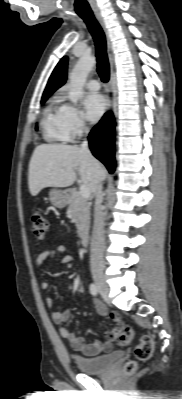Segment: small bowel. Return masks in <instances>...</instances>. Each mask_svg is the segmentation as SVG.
I'll return each mask as SVG.
<instances>
[{
    "mask_svg": "<svg viewBox=\"0 0 182 399\" xmlns=\"http://www.w3.org/2000/svg\"><path fill=\"white\" fill-rule=\"evenodd\" d=\"M53 258H57L59 262L63 264L72 263L74 261V257L72 255L65 254V247L59 245L57 247L42 251L36 259V265L41 268L48 260ZM48 287L49 283L47 281L41 282L42 289H47ZM45 302L48 307H52L54 303L51 297H47ZM78 306H80V303L78 304ZM96 308L100 315L105 316L107 314L105 308L102 305L97 304ZM70 315L71 309H57L52 311L51 314L52 320L56 324L60 325L65 323L69 319ZM109 317L110 320L116 323L117 326L106 333L104 342L95 341L92 344H87L82 337L70 331L65 326L60 327V335L69 342L72 349H74L75 351H79L86 356H95L101 351H110L113 347V342L119 336L122 322L121 317L117 313L112 312L109 314Z\"/></svg>",
    "mask_w": 182,
    "mask_h": 399,
    "instance_id": "c3829d8e",
    "label": "small bowel"
}]
</instances>
